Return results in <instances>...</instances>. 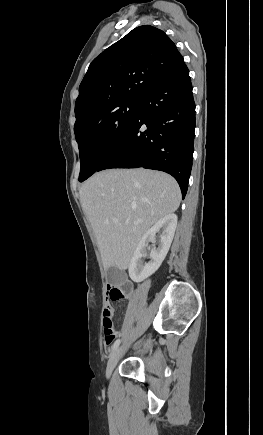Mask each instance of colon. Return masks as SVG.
Wrapping results in <instances>:
<instances>
[{
    "label": "colon",
    "instance_id": "obj_1",
    "mask_svg": "<svg viewBox=\"0 0 263 435\" xmlns=\"http://www.w3.org/2000/svg\"><path fill=\"white\" fill-rule=\"evenodd\" d=\"M128 291L129 288L127 285H109L108 297L111 301H119L126 296ZM103 332L106 344H110L116 336V330L114 328L112 314L109 311L103 312Z\"/></svg>",
    "mask_w": 263,
    "mask_h": 435
}]
</instances>
